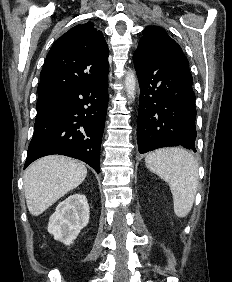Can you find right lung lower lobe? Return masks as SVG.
Segmentation results:
<instances>
[{
	"label": "right lung lower lobe",
	"instance_id": "98d812e1",
	"mask_svg": "<svg viewBox=\"0 0 232 282\" xmlns=\"http://www.w3.org/2000/svg\"><path fill=\"white\" fill-rule=\"evenodd\" d=\"M107 78L72 89L49 113L36 119L24 168L40 157L60 154L82 160L100 173Z\"/></svg>",
	"mask_w": 232,
	"mask_h": 282
}]
</instances>
